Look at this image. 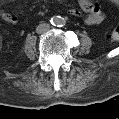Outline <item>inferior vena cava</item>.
I'll list each match as a JSON object with an SVG mask.
<instances>
[{
    "instance_id": "inferior-vena-cava-1",
    "label": "inferior vena cava",
    "mask_w": 119,
    "mask_h": 119,
    "mask_svg": "<svg viewBox=\"0 0 119 119\" xmlns=\"http://www.w3.org/2000/svg\"><path fill=\"white\" fill-rule=\"evenodd\" d=\"M50 30V25L48 23L39 24L36 28L38 34L46 33Z\"/></svg>"
}]
</instances>
